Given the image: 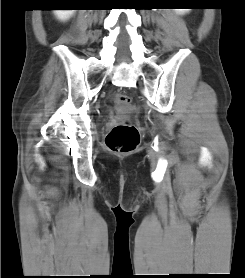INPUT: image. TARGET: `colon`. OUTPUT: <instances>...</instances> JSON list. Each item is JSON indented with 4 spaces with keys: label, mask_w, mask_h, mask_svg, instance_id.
<instances>
[{
    "label": "colon",
    "mask_w": 245,
    "mask_h": 278,
    "mask_svg": "<svg viewBox=\"0 0 245 278\" xmlns=\"http://www.w3.org/2000/svg\"><path fill=\"white\" fill-rule=\"evenodd\" d=\"M114 102L119 108L131 105V98L122 93L115 94ZM140 142V132L137 126L124 122L114 126L106 136L107 148L115 153H129L134 151Z\"/></svg>",
    "instance_id": "obj_1"
}]
</instances>
